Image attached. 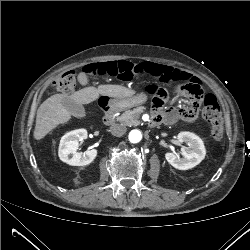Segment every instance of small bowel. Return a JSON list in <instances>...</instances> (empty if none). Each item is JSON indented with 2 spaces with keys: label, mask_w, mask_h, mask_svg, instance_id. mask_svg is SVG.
<instances>
[{
  "label": "small bowel",
  "mask_w": 250,
  "mask_h": 250,
  "mask_svg": "<svg viewBox=\"0 0 250 250\" xmlns=\"http://www.w3.org/2000/svg\"><path fill=\"white\" fill-rule=\"evenodd\" d=\"M137 65L164 80L176 81L178 83L177 88L182 94H189L191 90L199 91L197 96H201L204 93L201 81L188 72L153 61H145ZM78 79L81 84L87 83V77L84 73H80ZM167 101L168 94L164 89H161L159 91V97L154 98L153 117H157L160 121L168 125L174 124L179 117L188 122L193 121L200 106V102L193 99L190 103L177 110L176 108L169 106Z\"/></svg>",
  "instance_id": "small-bowel-1"
}]
</instances>
